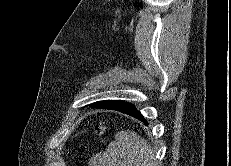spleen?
I'll list each match as a JSON object with an SVG mask.
<instances>
[{"instance_id":"3e777b00","label":"spleen","mask_w":231,"mask_h":166,"mask_svg":"<svg viewBox=\"0 0 231 166\" xmlns=\"http://www.w3.org/2000/svg\"><path fill=\"white\" fill-rule=\"evenodd\" d=\"M93 166H158L154 151L137 133L122 130L115 135L105 152L96 154Z\"/></svg>"}]
</instances>
